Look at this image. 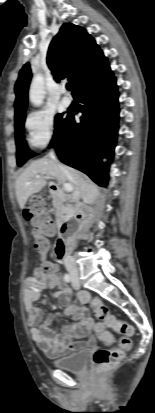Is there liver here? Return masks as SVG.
I'll return each mask as SVG.
<instances>
[{"label": "liver", "instance_id": "6515ba94", "mask_svg": "<svg viewBox=\"0 0 155 413\" xmlns=\"http://www.w3.org/2000/svg\"><path fill=\"white\" fill-rule=\"evenodd\" d=\"M67 168L79 186L83 202L93 204L99 195L97 185L85 178L79 171ZM44 176L53 177L62 183L69 181V184L75 189V184L60 172L57 165L50 158H41L32 162L16 180L15 192L20 209H24L31 195L40 192L45 187Z\"/></svg>", "mask_w": 155, "mask_h": 413}]
</instances>
